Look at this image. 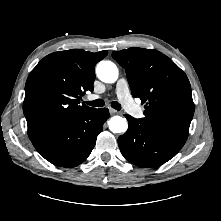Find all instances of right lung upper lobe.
Instances as JSON below:
<instances>
[{
  "label": "right lung upper lobe",
  "mask_w": 221,
  "mask_h": 221,
  "mask_svg": "<svg viewBox=\"0 0 221 221\" xmlns=\"http://www.w3.org/2000/svg\"><path fill=\"white\" fill-rule=\"evenodd\" d=\"M108 51L92 53L73 49L54 52L44 57L31 71L25 85L23 111L28 136L61 130L77 116L94 110L79 99L93 90L95 65Z\"/></svg>",
  "instance_id": "right-lung-upper-lobe-1"
}]
</instances>
